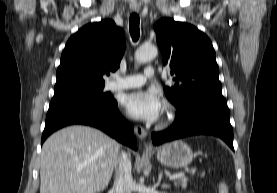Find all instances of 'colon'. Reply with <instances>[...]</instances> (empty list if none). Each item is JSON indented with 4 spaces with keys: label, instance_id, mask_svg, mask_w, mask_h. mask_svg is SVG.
<instances>
[{
    "label": "colon",
    "instance_id": "1",
    "mask_svg": "<svg viewBox=\"0 0 277 193\" xmlns=\"http://www.w3.org/2000/svg\"><path fill=\"white\" fill-rule=\"evenodd\" d=\"M218 193H229L228 185L225 182L219 184Z\"/></svg>",
    "mask_w": 277,
    "mask_h": 193
}]
</instances>
